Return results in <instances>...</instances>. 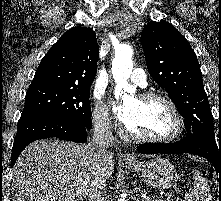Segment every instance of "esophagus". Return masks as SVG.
Wrapping results in <instances>:
<instances>
[{
  "label": "esophagus",
  "mask_w": 221,
  "mask_h": 201,
  "mask_svg": "<svg viewBox=\"0 0 221 201\" xmlns=\"http://www.w3.org/2000/svg\"><path fill=\"white\" fill-rule=\"evenodd\" d=\"M122 160L125 162H134L136 160V158L133 155H131L130 153H123Z\"/></svg>",
  "instance_id": "34e87169"
}]
</instances>
